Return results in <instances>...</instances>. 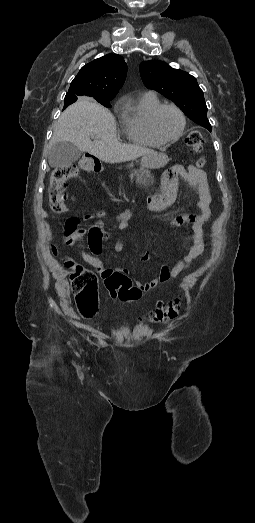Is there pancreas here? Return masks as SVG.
Returning a JSON list of instances; mask_svg holds the SVG:
<instances>
[{"label": "pancreas", "mask_w": 255, "mask_h": 523, "mask_svg": "<svg viewBox=\"0 0 255 523\" xmlns=\"http://www.w3.org/2000/svg\"><path fill=\"white\" fill-rule=\"evenodd\" d=\"M130 178L132 182H134L135 178L136 184H140V186H147V184H153L154 182L152 174L148 170H143V168L141 170H132Z\"/></svg>", "instance_id": "pancreas-1"}]
</instances>
